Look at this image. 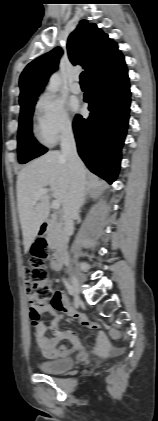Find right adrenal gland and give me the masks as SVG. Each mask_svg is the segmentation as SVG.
<instances>
[{
  "instance_id": "2a0ac1e0",
  "label": "right adrenal gland",
  "mask_w": 158,
  "mask_h": 421,
  "mask_svg": "<svg viewBox=\"0 0 158 421\" xmlns=\"http://www.w3.org/2000/svg\"><path fill=\"white\" fill-rule=\"evenodd\" d=\"M97 193H98V192H96V191H95V190H93L92 188H87L86 193H85V198H84L83 203H82V205H81V206H83V205L85 204L86 200H87L89 197L95 196Z\"/></svg>"
}]
</instances>
